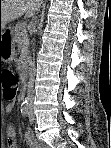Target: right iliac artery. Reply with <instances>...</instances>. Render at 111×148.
Masks as SVG:
<instances>
[{
	"label": "right iliac artery",
	"instance_id": "obj_1",
	"mask_svg": "<svg viewBox=\"0 0 111 148\" xmlns=\"http://www.w3.org/2000/svg\"><path fill=\"white\" fill-rule=\"evenodd\" d=\"M21 113L25 116L29 113V104L27 102H23L21 105Z\"/></svg>",
	"mask_w": 111,
	"mask_h": 148
}]
</instances>
